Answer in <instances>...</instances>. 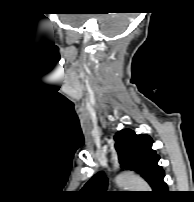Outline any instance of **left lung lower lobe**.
<instances>
[{
	"mask_svg": "<svg viewBox=\"0 0 194 202\" xmlns=\"http://www.w3.org/2000/svg\"><path fill=\"white\" fill-rule=\"evenodd\" d=\"M163 178H164V171L161 170L158 176L156 177L154 184L151 186L153 189L152 192L154 195L161 196V195H165L168 192L167 185L163 181Z\"/></svg>",
	"mask_w": 194,
	"mask_h": 202,
	"instance_id": "0a47b994",
	"label": "left lung lower lobe"
}]
</instances>
